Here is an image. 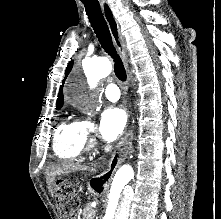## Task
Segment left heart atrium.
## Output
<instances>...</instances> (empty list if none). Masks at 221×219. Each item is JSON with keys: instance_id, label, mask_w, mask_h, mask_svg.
Masks as SVG:
<instances>
[{"instance_id": "obj_1", "label": "left heart atrium", "mask_w": 221, "mask_h": 219, "mask_svg": "<svg viewBox=\"0 0 221 219\" xmlns=\"http://www.w3.org/2000/svg\"><path fill=\"white\" fill-rule=\"evenodd\" d=\"M128 114L121 106H111L106 109L99 124V134L102 139L112 141L116 139L127 124Z\"/></svg>"}]
</instances>
